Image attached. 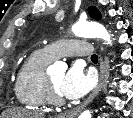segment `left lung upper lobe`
<instances>
[{"instance_id": "left-lung-upper-lobe-1", "label": "left lung upper lobe", "mask_w": 133, "mask_h": 118, "mask_svg": "<svg viewBox=\"0 0 133 118\" xmlns=\"http://www.w3.org/2000/svg\"><path fill=\"white\" fill-rule=\"evenodd\" d=\"M88 10H89V15L92 18L96 20H99L101 18L100 12L97 10L96 7H89Z\"/></svg>"}]
</instances>
